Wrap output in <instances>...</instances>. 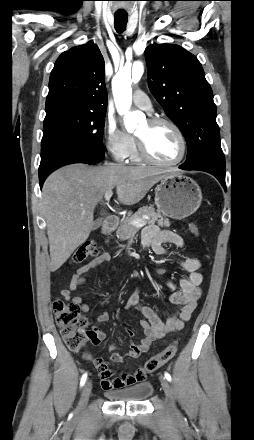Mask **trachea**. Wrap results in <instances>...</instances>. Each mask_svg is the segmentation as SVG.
Segmentation results:
<instances>
[{
	"mask_svg": "<svg viewBox=\"0 0 254 440\" xmlns=\"http://www.w3.org/2000/svg\"><path fill=\"white\" fill-rule=\"evenodd\" d=\"M128 17L115 15V29L118 33H122L126 29Z\"/></svg>",
	"mask_w": 254,
	"mask_h": 440,
	"instance_id": "obj_1",
	"label": "trachea"
}]
</instances>
